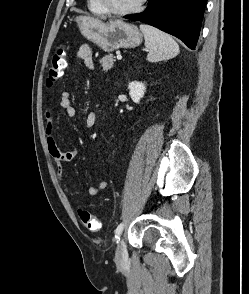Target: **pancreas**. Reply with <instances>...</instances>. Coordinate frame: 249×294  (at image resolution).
<instances>
[{
	"mask_svg": "<svg viewBox=\"0 0 249 294\" xmlns=\"http://www.w3.org/2000/svg\"><path fill=\"white\" fill-rule=\"evenodd\" d=\"M115 59L113 54L105 55L101 60L100 63L102 64L103 70L108 71L113 67Z\"/></svg>",
	"mask_w": 249,
	"mask_h": 294,
	"instance_id": "cf45deb5",
	"label": "pancreas"
}]
</instances>
